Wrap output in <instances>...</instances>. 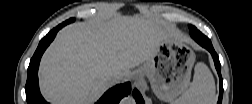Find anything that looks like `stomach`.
<instances>
[{"mask_svg": "<svg viewBox=\"0 0 252 104\" xmlns=\"http://www.w3.org/2000/svg\"><path fill=\"white\" fill-rule=\"evenodd\" d=\"M194 62L192 49L176 36H170L160 43L154 55L136 70V74L149 79L160 100L175 103L189 85Z\"/></svg>", "mask_w": 252, "mask_h": 104, "instance_id": "0dacf381", "label": "stomach"}]
</instances>
